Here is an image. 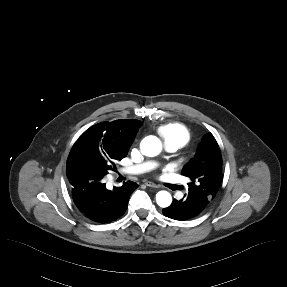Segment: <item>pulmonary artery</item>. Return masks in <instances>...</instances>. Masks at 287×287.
<instances>
[{"mask_svg":"<svg viewBox=\"0 0 287 287\" xmlns=\"http://www.w3.org/2000/svg\"><path fill=\"white\" fill-rule=\"evenodd\" d=\"M165 148L168 152H175L178 150V148L175 145L171 144H165ZM152 166H153L152 163H142L139 165L123 168L121 172L124 174H141L151 169Z\"/></svg>","mask_w":287,"mask_h":287,"instance_id":"pulmonary-artery-1","label":"pulmonary artery"}]
</instances>
